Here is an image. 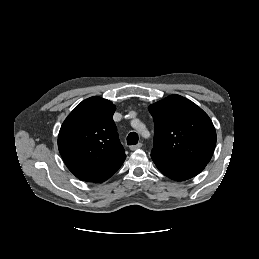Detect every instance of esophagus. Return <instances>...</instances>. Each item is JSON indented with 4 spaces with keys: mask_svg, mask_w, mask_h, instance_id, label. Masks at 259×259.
<instances>
[{
    "mask_svg": "<svg viewBox=\"0 0 259 259\" xmlns=\"http://www.w3.org/2000/svg\"><path fill=\"white\" fill-rule=\"evenodd\" d=\"M142 145H143L142 143H138L136 145H132V146H130V150H132V151L137 150V149L141 148Z\"/></svg>",
    "mask_w": 259,
    "mask_h": 259,
    "instance_id": "esophagus-1",
    "label": "esophagus"
}]
</instances>
